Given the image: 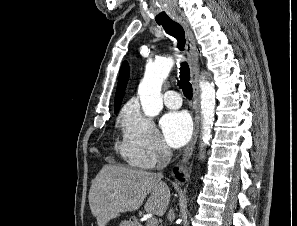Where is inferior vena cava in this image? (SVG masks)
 Returning <instances> with one entry per match:
<instances>
[{
	"label": "inferior vena cava",
	"mask_w": 297,
	"mask_h": 226,
	"mask_svg": "<svg viewBox=\"0 0 297 226\" xmlns=\"http://www.w3.org/2000/svg\"><path fill=\"white\" fill-rule=\"evenodd\" d=\"M171 157H172L171 149L168 146L163 145L159 151L158 160H157V170L160 171L157 173L158 177H162L161 170H163L169 164ZM174 217H175L174 211L173 209H170L168 212V218L172 220L174 219Z\"/></svg>",
	"instance_id": "1"
}]
</instances>
